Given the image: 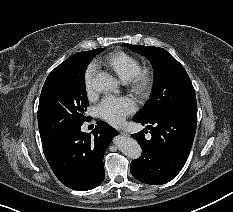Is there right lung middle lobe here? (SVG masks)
I'll return each mask as SVG.
<instances>
[{
	"mask_svg": "<svg viewBox=\"0 0 233 212\" xmlns=\"http://www.w3.org/2000/svg\"><path fill=\"white\" fill-rule=\"evenodd\" d=\"M104 48L91 50L48 75L41 91L38 106V126L42 144L82 125L89 105L85 88V71L92 59Z\"/></svg>",
	"mask_w": 233,
	"mask_h": 212,
	"instance_id": "1",
	"label": "right lung middle lobe"
}]
</instances>
